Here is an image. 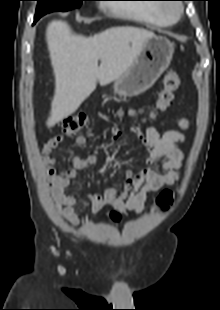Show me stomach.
I'll return each instance as SVG.
<instances>
[{"label":"stomach","mask_w":220,"mask_h":310,"mask_svg":"<svg viewBox=\"0 0 220 310\" xmlns=\"http://www.w3.org/2000/svg\"><path fill=\"white\" fill-rule=\"evenodd\" d=\"M174 53L173 44L163 36L148 39L128 70L113 82V92L121 97L144 93L168 68Z\"/></svg>","instance_id":"obj_1"}]
</instances>
